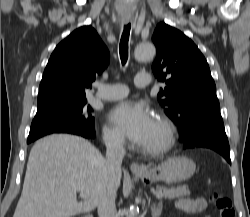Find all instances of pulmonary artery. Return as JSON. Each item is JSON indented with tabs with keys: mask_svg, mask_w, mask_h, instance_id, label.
Segmentation results:
<instances>
[{
	"mask_svg": "<svg viewBox=\"0 0 250 217\" xmlns=\"http://www.w3.org/2000/svg\"><path fill=\"white\" fill-rule=\"evenodd\" d=\"M151 83V77L148 73H138L134 79V84L138 88L148 87ZM128 88L124 84H97L95 96L98 99L112 101L126 97Z\"/></svg>",
	"mask_w": 250,
	"mask_h": 217,
	"instance_id": "e3ab8cb5",
	"label": "pulmonary artery"
}]
</instances>
